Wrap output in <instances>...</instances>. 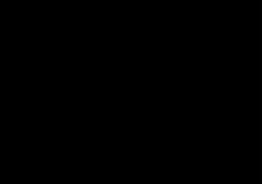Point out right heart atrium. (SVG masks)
<instances>
[{"mask_svg": "<svg viewBox=\"0 0 262 184\" xmlns=\"http://www.w3.org/2000/svg\"><path fill=\"white\" fill-rule=\"evenodd\" d=\"M94 74L97 78H102L103 76H105V71L101 67L96 65L94 67Z\"/></svg>", "mask_w": 262, "mask_h": 184, "instance_id": "1", "label": "right heart atrium"}]
</instances>
